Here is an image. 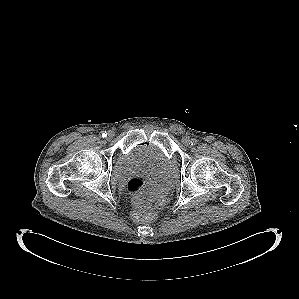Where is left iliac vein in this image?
Masks as SVG:
<instances>
[{
	"label": "left iliac vein",
	"mask_w": 299,
	"mask_h": 299,
	"mask_svg": "<svg viewBox=\"0 0 299 299\" xmlns=\"http://www.w3.org/2000/svg\"><path fill=\"white\" fill-rule=\"evenodd\" d=\"M182 143H183L184 145H186V146H189L190 143H191V139H190L188 136H184V137L182 138Z\"/></svg>",
	"instance_id": "obj_1"
}]
</instances>
